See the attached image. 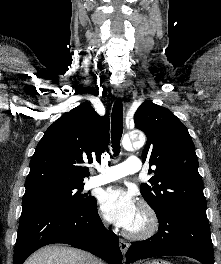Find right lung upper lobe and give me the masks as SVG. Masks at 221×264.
Returning <instances> with one entry per match:
<instances>
[{"label": "right lung upper lobe", "instance_id": "1", "mask_svg": "<svg viewBox=\"0 0 221 264\" xmlns=\"http://www.w3.org/2000/svg\"><path fill=\"white\" fill-rule=\"evenodd\" d=\"M109 116L98 115L89 103L64 113L44 133L31 158L25 187L83 183L93 159L100 160L109 144Z\"/></svg>", "mask_w": 221, "mask_h": 264}]
</instances>
